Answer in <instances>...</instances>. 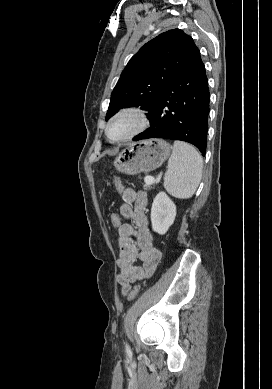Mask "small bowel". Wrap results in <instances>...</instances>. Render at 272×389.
<instances>
[{"label": "small bowel", "mask_w": 272, "mask_h": 389, "mask_svg": "<svg viewBox=\"0 0 272 389\" xmlns=\"http://www.w3.org/2000/svg\"><path fill=\"white\" fill-rule=\"evenodd\" d=\"M124 203L119 208L121 218L131 223H122L118 228V284L122 295H127L131 285L150 277L161 260V252L154 247L153 235L148 227L146 206L148 198L145 192L132 188L122 190ZM133 205V206H132ZM137 260L142 266L135 264Z\"/></svg>", "instance_id": "1"}]
</instances>
